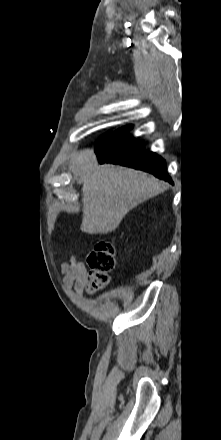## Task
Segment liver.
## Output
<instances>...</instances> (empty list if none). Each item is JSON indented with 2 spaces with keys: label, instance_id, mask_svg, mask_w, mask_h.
I'll list each match as a JSON object with an SVG mask.
<instances>
[{
  "label": "liver",
  "instance_id": "obj_1",
  "mask_svg": "<svg viewBox=\"0 0 221 440\" xmlns=\"http://www.w3.org/2000/svg\"><path fill=\"white\" fill-rule=\"evenodd\" d=\"M82 184L83 219L81 230L107 234L120 225L138 204L156 196L167 186L148 174L114 165H98L95 153L80 151L71 161Z\"/></svg>",
  "mask_w": 221,
  "mask_h": 440
}]
</instances>
